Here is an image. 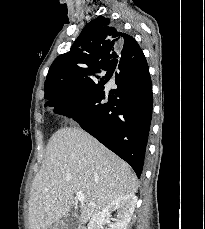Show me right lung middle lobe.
<instances>
[{
    "instance_id": "dd1d6c3e",
    "label": "right lung middle lobe",
    "mask_w": 205,
    "mask_h": 229,
    "mask_svg": "<svg viewBox=\"0 0 205 229\" xmlns=\"http://www.w3.org/2000/svg\"><path fill=\"white\" fill-rule=\"evenodd\" d=\"M110 77H107V76H104V77H98V78H95L93 80V82H91L90 84H84V85H80L78 90L71 94L70 96H66L65 98H63V100H68L70 99L72 96L76 95V94H79L85 90H88V89H91L93 87H96V86H104V84L109 80Z\"/></svg>"
}]
</instances>
